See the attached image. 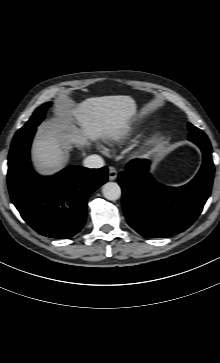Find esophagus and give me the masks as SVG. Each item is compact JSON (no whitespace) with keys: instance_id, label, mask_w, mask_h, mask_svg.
Masks as SVG:
<instances>
[{"instance_id":"esophagus-1","label":"esophagus","mask_w":220,"mask_h":363,"mask_svg":"<svg viewBox=\"0 0 220 363\" xmlns=\"http://www.w3.org/2000/svg\"><path fill=\"white\" fill-rule=\"evenodd\" d=\"M117 170L114 167H109V180L113 181L117 178Z\"/></svg>"}]
</instances>
